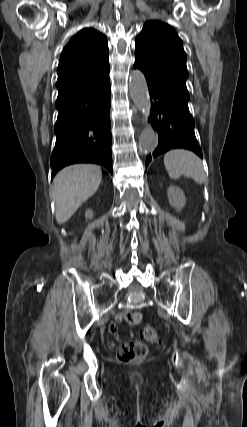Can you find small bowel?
Returning a JSON list of instances; mask_svg holds the SVG:
<instances>
[{"instance_id": "c3829d8e", "label": "small bowel", "mask_w": 247, "mask_h": 427, "mask_svg": "<svg viewBox=\"0 0 247 427\" xmlns=\"http://www.w3.org/2000/svg\"><path fill=\"white\" fill-rule=\"evenodd\" d=\"M142 319V314L139 312L121 311L116 314L114 321L109 324L108 330L114 336H118V324L127 322L130 325L138 324Z\"/></svg>"}]
</instances>
